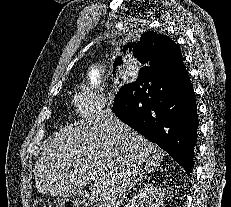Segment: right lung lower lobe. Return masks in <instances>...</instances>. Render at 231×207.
Here are the masks:
<instances>
[{
	"label": "right lung lower lobe",
	"mask_w": 231,
	"mask_h": 207,
	"mask_svg": "<svg viewBox=\"0 0 231 207\" xmlns=\"http://www.w3.org/2000/svg\"><path fill=\"white\" fill-rule=\"evenodd\" d=\"M112 111L191 173L198 114L185 66L173 70L142 67L135 82L121 87Z\"/></svg>",
	"instance_id": "1"
}]
</instances>
